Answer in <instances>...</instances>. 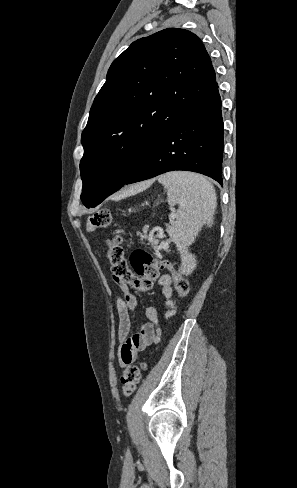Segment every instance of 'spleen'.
I'll return each instance as SVG.
<instances>
[{"label": "spleen", "mask_w": 297, "mask_h": 488, "mask_svg": "<svg viewBox=\"0 0 297 488\" xmlns=\"http://www.w3.org/2000/svg\"><path fill=\"white\" fill-rule=\"evenodd\" d=\"M158 181L167 189L168 204L179 205L176 220L167 231L181 252L187 253V246L202 226L213 224L216 208L214 188L204 177L188 172H169L160 176Z\"/></svg>", "instance_id": "1"}]
</instances>
